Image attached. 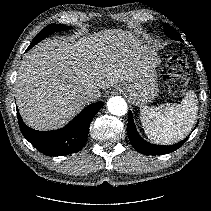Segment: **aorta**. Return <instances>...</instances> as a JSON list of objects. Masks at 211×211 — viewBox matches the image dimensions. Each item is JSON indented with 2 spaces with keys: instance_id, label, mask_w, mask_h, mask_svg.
<instances>
[{
  "instance_id": "obj_1",
  "label": "aorta",
  "mask_w": 211,
  "mask_h": 211,
  "mask_svg": "<svg viewBox=\"0 0 211 211\" xmlns=\"http://www.w3.org/2000/svg\"><path fill=\"white\" fill-rule=\"evenodd\" d=\"M109 112L116 116H123L127 113V103L120 96H113L107 101Z\"/></svg>"
}]
</instances>
